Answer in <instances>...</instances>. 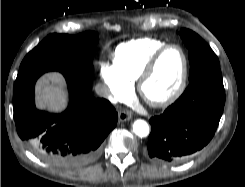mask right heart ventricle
<instances>
[{"label": "right heart ventricle", "mask_w": 245, "mask_h": 187, "mask_svg": "<svg viewBox=\"0 0 245 187\" xmlns=\"http://www.w3.org/2000/svg\"><path fill=\"white\" fill-rule=\"evenodd\" d=\"M166 44L163 40L151 37L121 43L113 53L114 64L121 76L133 84L151 56Z\"/></svg>", "instance_id": "e07e8e85"}]
</instances>
